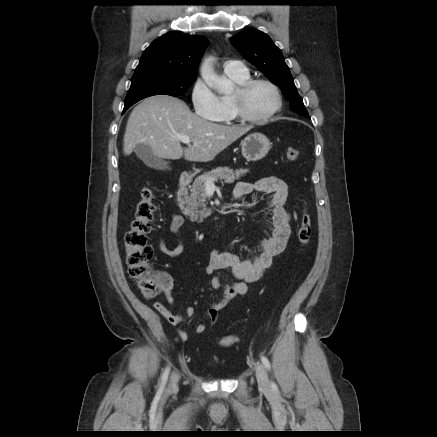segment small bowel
<instances>
[{
  "label": "small bowel",
  "mask_w": 437,
  "mask_h": 437,
  "mask_svg": "<svg viewBox=\"0 0 437 437\" xmlns=\"http://www.w3.org/2000/svg\"><path fill=\"white\" fill-rule=\"evenodd\" d=\"M253 192L264 194L268 197L267 205L272 211L273 234L270 238L260 242V251L252 258H241L234 253L217 250L211 252L206 272L208 274L220 271L228 272L235 279L232 283H224L218 275L212 277L211 286L215 290L223 291L222 299L211 303L205 314V319H210L212 323L217 321L219 312L231 300L246 294L248 285L262 278L266 270L272 266L275 257L284 251L291 233V215L285 207L288 197L287 184L282 179L273 176L261 178L255 183L242 181L237 183L234 197L243 198ZM183 224L184 218L180 214H174L170 223V231L178 235ZM159 248L164 254L174 257L182 253L183 244L179 242L174 248H168L164 240L160 238ZM162 280L166 301L169 305H172L175 301L172 296L173 280L166 274L162 276ZM154 307L161 316L173 325H178L195 315L194 307L186 308L182 315L172 314L161 303H155ZM205 328V322H201L197 325L196 332L202 333ZM178 335L182 341L188 339V334L183 330H179Z\"/></svg>",
  "instance_id": "c3829d8e"
}]
</instances>
